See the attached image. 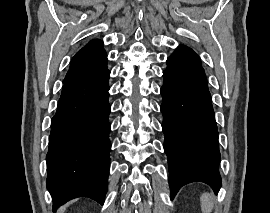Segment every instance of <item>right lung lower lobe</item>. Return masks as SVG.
Returning <instances> with one entry per match:
<instances>
[{
    "mask_svg": "<svg viewBox=\"0 0 270 213\" xmlns=\"http://www.w3.org/2000/svg\"><path fill=\"white\" fill-rule=\"evenodd\" d=\"M109 74L105 69L63 85L46 156L54 210L81 196L103 205L111 149Z\"/></svg>",
    "mask_w": 270,
    "mask_h": 213,
    "instance_id": "right-lung-lower-lobe-1",
    "label": "right lung lower lobe"
}]
</instances>
